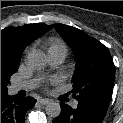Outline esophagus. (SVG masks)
Listing matches in <instances>:
<instances>
[{
	"label": "esophagus",
	"mask_w": 123,
	"mask_h": 123,
	"mask_svg": "<svg viewBox=\"0 0 123 123\" xmlns=\"http://www.w3.org/2000/svg\"><path fill=\"white\" fill-rule=\"evenodd\" d=\"M49 101H50L49 99H45V98H40V99H38V102H39L40 104H42V105L48 104Z\"/></svg>",
	"instance_id": "obj_1"
}]
</instances>
